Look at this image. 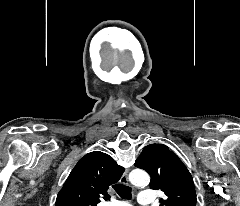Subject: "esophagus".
<instances>
[{
	"label": "esophagus",
	"mask_w": 240,
	"mask_h": 206,
	"mask_svg": "<svg viewBox=\"0 0 240 206\" xmlns=\"http://www.w3.org/2000/svg\"><path fill=\"white\" fill-rule=\"evenodd\" d=\"M120 183L124 184V185H128L129 181H128V173H127V171H125L123 173V175L121 176Z\"/></svg>",
	"instance_id": "obj_1"
}]
</instances>
